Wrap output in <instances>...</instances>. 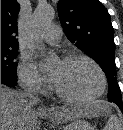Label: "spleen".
Masks as SVG:
<instances>
[{
  "instance_id": "3e777b00",
  "label": "spleen",
  "mask_w": 123,
  "mask_h": 130,
  "mask_svg": "<svg viewBox=\"0 0 123 130\" xmlns=\"http://www.w3.org/2000/svg\"><path fill=\"white\" fill-rule=\"evenodd\" d=\"M104 130H122V125L116 115H111Z\"/></svg>"
}]
</instances>
